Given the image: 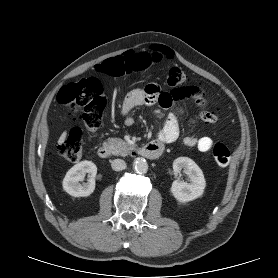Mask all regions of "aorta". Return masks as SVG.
<instances>
[{"instance_id": "1", "label": "aorta", "mask_w": 278, "mask_h": 278, "mask_svg": "<svg viewBox=\"0 0 278 278\" xmlns=\"http://www.w3.org/2000/svg\"><path fill=\"white\" fill-rule=\"evenodd\" d=\"M134 171L138 174H145L148 171V164L143 158H136L133 163Z\"/></svg>"}]
</instances>
